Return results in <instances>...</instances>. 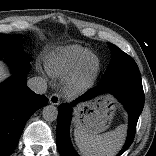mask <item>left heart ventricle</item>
<instances>
[{
  "instance_id": "b2bd125f",
  "label": "left heart ventricle",
  "mask_w": 156,
  "mask_h": 156,
  "mask_svg": "<svg viewBox=\"0 0 156 156\" xmlns=\"http://www.w3.org/2000/svg\"><path fill=\"white\" fill-rule=\"evenodd\" d=\"M92 67H93L92 63H89V65H88V67L86 69V73H85L86 75H89L91 73Z\"/></svg>"
}]
</instances>
